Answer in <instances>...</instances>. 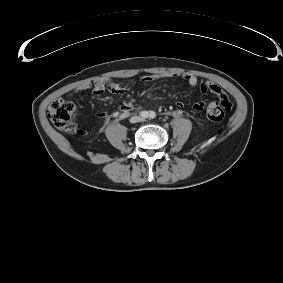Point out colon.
Listing matches in <instances>:
<instances>
[{
	"label": "colon",
	"instance_id": "obj_1",
	"mask_svg": "<svg viewBox=\"0 0 283 283\" xmlns=\"http://www.w3.org/2000/svg\"><path fill=\"white\" fill-rule=\"evenodd\" d=\"M223 100L210 103L206 109V116L209 120L220 121L225 115V111L231 108V102L228 96L223 95ZM74 113V105L64 99L58 98L54 100L48 109V117L55 127L65 132H77L72 121Z\"/></svg>",
	"mask_w": 283,
	"mask_h": 283
}]
</instances>
